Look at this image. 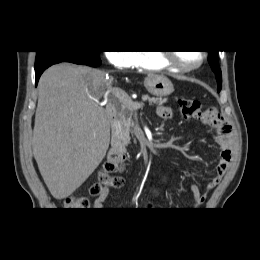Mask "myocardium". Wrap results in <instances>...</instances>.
<instances>
[{"mask_svg": "<svg viewBox=\"0 0 260 260\" xmlns=\"http://www.w3.org/2000/svg\"><path fill=\"white\" fill-rule=\"evenodd\" d=\"M200 59L197 63L192 64V65H186L180 63L174 52L172 51H163L160 52L161 57L174 69L179 70V71H192L196 68H198L205 60L206 58V53L204 51H200Z\"/></svg>", "mask_w": 260, "mask_h": 260, "instance_id": "1", "label": "myocardium"}]
</instances>
